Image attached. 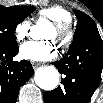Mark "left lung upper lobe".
<instances>
[{
  "label": "left lung upper lobe",
  "mask_w": 103,
  "mask_h": 103,
  "mask_svg": "<svg viewBox=\"0 0 103 103\" xmlns=\"http://www.w3.org/2000/svg\"><path fill=\"white\" fill-rule=\"evenodd\" d=\"M74 13L78 19V23H77V28L76 31L74 33V37H73V43L71 44V46L79 39H81L82 37H84L88 32L90 31H98L96 23L94 22V20L88 16L87 14L81 12V11H77L74 10Z\"/></svg>",
  "instance_id": "5c2ea615"
}]
</instances>
